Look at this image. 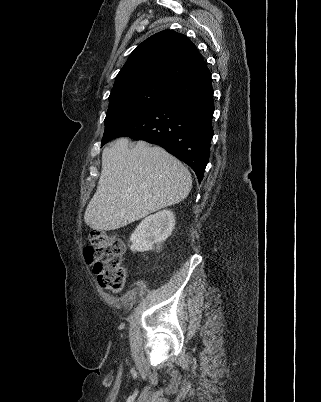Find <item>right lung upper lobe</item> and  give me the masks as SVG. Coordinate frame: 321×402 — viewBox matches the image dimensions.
I'll return each instance as SVG.
<instances>
[{"label": "right lung upper lobe", "instance_id": "obj_1", "mask_svg": "<svg viewBox=\"0 0 321 402\" xmlns=\"http://www.w3.org/2000/svg\"><path fill=\"white\" fill-rule=\"evenodd\" d=\"M204 68L197 48L186 36L164 30L134 49L118 73L111 94L148 83L172 86Z\"/></svg>", "mask_w": 321, "mask_h": 402}]
</instances>
